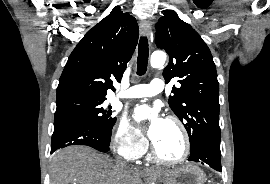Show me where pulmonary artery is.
Returning <instances> with one entry per match:
<instances>
[{
	"instance_id": "e3ab8cb5",
	"label": "pulmonary artery",
	"mask_w": 270,
	"mask_h": 184,
	"mask_svg": "<svg viewBox=\"0 0 270 184\" xmlns=\"http://www.w3.org/2000/svg\"><path fill=\"white\" fill-rule=\"evenodd\" d=\"M164 89V82L161 79H153L149 84H139L130 87L119 93V98H142L151 97L161 93Z\"/></svg>"
}]
</instances>
